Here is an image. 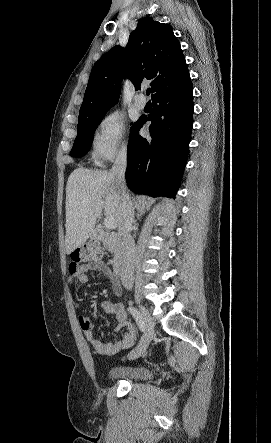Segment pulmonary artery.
I'll list each match as a JSON object with an SVG mask.
<instances>
[{"instance_id":"e3ab8cb5","label":"pulmonary artery","mask_w":271,"mask_h":443,"mask_svg":"<svg viewBox=\"0 0 271 443\" xmlns=\"http://www.w3.org/2000/svg\"><path fill=\"white\" fill-rule=\"evenodd\" d=\"M134 105L137 109L143 110L147 105V99L143 92H139L134 98Z\"/></svg>"}]
</instances>
